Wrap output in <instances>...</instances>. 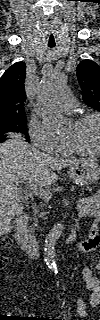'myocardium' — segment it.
Returning <instances> with one entry per match:
<instances>
[{"instance_id": "1", "label": "myocardium", "mask_w": 100, "mask_h": 320, "mask_svg": "<svg viewBox=\"0 0 100 320\" xmlns=\"http://www.w3.org/2000/svg\"><path fill=\"white\" fill-rule=\"evenodd\" d=\"M88 120H95L98 123L99 136H100V117L97 114H92V113L83 114L80 117H78L77 119H75L73 123L76 126H80V125H82L84 122H86ZM65 141L67 142V144L71 148L76 150L78 153H82V154H85V155H91V156L92 155H97V154L100 153V138H99V145H98L97 149H95V150H90V149H86V148L82 147L78 142H76L72 138L65 137Z\"/></svg>"}]
</instances>
